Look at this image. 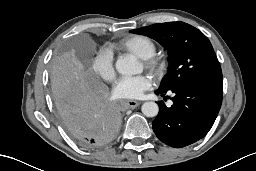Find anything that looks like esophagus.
<instances>
[{"label": "esophagus", "instance_id": "34e87169", "mask_svg": "<svg viewBox=\"0 0 256 171\" xmlns=\"http://www.w3.org/2000/svg\"><path fill=\"white\" fill-rule=\"evenodd\" d=\"M126 104L129 108L133 109V108H136L137 106H139L140 102L135 101V100H128Z\"/></svg>", "mask_w": 256, "mask_h": 171}]
</instances>
